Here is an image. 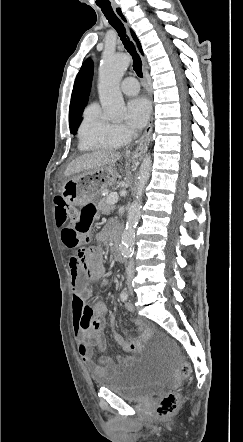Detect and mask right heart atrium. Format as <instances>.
Returning <instances> with one entry per match:
<instances>
[{"mask_svg": "<svg viewBox=\"0 0 243 442\" xmlns=\"http://www.w3.org/2000/svg\"><path fill=\"white\" fill-rule=\"evenodd\" d=\"M114 132L120 141H126L132 136V132L124 125H114Z\"/></svg>", "mask_w": 243, "mask_h": 442, "instance_id": "d8ad5b80", "label": "right heart atrium"}]
</instances>
